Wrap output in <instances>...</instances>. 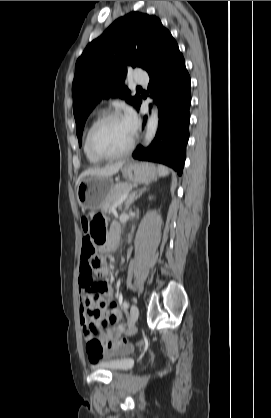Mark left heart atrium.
Wrapping results in <instances>:
<instances>
[{
	"label": "left heart atrium",
	"mask_w": 271,
	"mask_h": 418,
	"mask_svg": "<svg viewBox=\"0 0 271 418\" xmlns=\"http://www.w3.org/2000/svg\"><path fill=\"white\" fill-rule=\"evenodd\" d=\"M123 119L129 131L134 134L138 127V118L135 112L133 110H128Z\"/></svg>",
	"instance_id": "left-heart-atrium-1"
}]
</instances>
